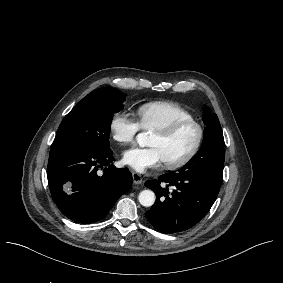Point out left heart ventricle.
<instances>
[{"label":"left heart ventricle","instance_id":"left-heart-ventricle-1","mask_svg":"<svg viewBox=\"0 0 283 283\" xmlns=\"http://www.w3.org/2000/svg\"><path fill=\"white\" fill-rule=\"evenodd\" d=\"M196 137V128L193 125H187L169 140H164L156 134L150 145L161 150L165 163L177 162L189 153L195 144Z\"/></svg>","mask_w":283,"mask_h":283}]
</instances>
